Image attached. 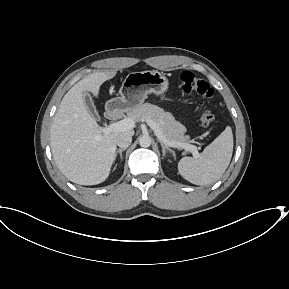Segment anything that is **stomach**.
Here are the masks:
<instances>
[{"label":"stomach","instance_id":"1","mask_svg":"<svg viewBox=\"0 0 289 289\" xmlns=\"http://www.w3.org/2000/svg\"><path fill=\"white\" fill-rule=\"evenodd\" d=\"M169 88L167 77L156 70L129 73L119 90V96L107 102L119 111H131L140 106L148 94L164 97Z\"/></svg>","mask_w":289,"mask_h":289}]
</instances>
